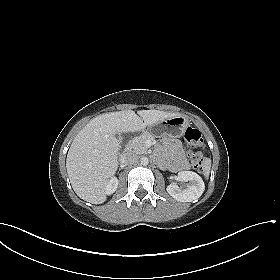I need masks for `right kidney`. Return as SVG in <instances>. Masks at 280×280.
I'll list each match as a JSON object with an SVG mask.
<instances>
[{
    "instance_id": "1",
    "label": "right kidney",
    "mask_w": 280,
    "mask_h": 280,
    "mask_svg": "<svg viewBox=\"0 0 280 280\" xmlns=\"http://www.w3.org/2000/svg\"><path fill=\"white\" fill-rule=\"evenodd\" d=\"M118 186V179L116 177H112L105 186V192L107 195L114 193Z\"/></svg>"
}]
</instances>
